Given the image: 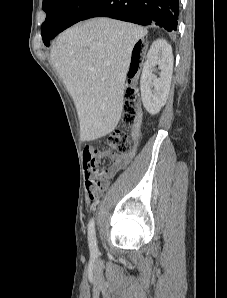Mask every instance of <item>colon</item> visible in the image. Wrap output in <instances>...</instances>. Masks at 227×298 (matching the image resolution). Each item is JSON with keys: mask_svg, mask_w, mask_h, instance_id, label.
<instances>
[{"mask_svg": "<svg viewBox=\"0 0 227 298\" xmlns=\"http://www.w3.org/2000/svg\"><path fill=\"white\" fill-rule=\"evenodd\" d=\"M135 73V69L132 68L130 75ZM138 98V92L136 88L128 86L126 89V100L124 103V114L123 122L126 127L133 125L137 120V104L136 100ZM105 144L108 148V152L113 154H125L130 150V141L128 134L125 130L117 129L112 131L107 137ZM86 150V149H85ZM98 182L93 183V188L90 193L91 199H95L100 196Z\"/></svg>", "mask_w": 227, "mask_h": 298, "instance_id": "5ec220e1", "label": "colon"}]
</instances>
